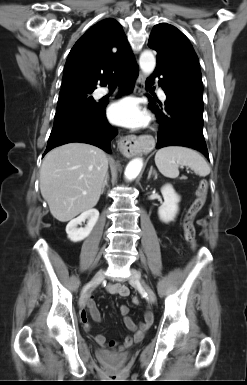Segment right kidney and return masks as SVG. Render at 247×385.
I'll list each match as a JSON object with an SVG mask.
<instances>
[{
  "label": "right kidney",
  "mask_w": 247,
  "mask_h": 385,
  "mask_svg": "<svg viewBox=\"0 0 247 385\" xmlns=\"http://www.w3.org/2000/svg\"><path fill=\"white\" fill-rule=\"evenodd\" d=\"M99 218V211L97 209H89L87 211H84L80 216L77 218L71 220L67 226H66V233L68 235V238L72 242H79L84 240L86 237H88L97 223ZM87 221V225L84 228H78L77 226L80 225L85 220Z\"/></svg>",
  "instance_id": "ca27d5eb"
}]
</instances>
